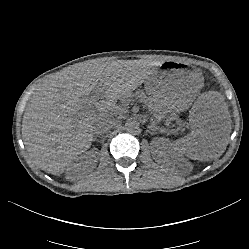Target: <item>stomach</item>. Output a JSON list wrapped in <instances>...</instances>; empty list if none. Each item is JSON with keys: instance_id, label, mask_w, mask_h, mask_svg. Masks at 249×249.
<instances>
[{"instance_id": "1", "label": "stomach", "mask_w": 249, "mask_h": 249, "mask_svg": "<svg viewBox=\"0 0 249 249\" xmlns=\"http://www.w3.org/2000/svg\"><path fill=\"white\" fill-rule=\"evenodd\" d=\"M204 78L198 68H188L181 62L165 61L145 81V91L157 101L168 117H180L202 89Z\"/></svg>"}]
</instances>
